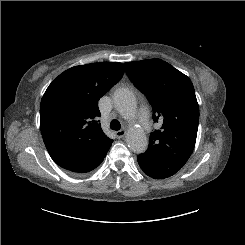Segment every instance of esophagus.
<instances>
[{"mask_svg":"<svg viewBox=\"0 0 245 245\" xmlns=\"http://www.w3.org/2000/svg\"><path fill=\"white\" fill-rule=\"evenodd\" d=\"M126 135V131L125 130H119L116 132V136L117 138H123Z\"/></svg>","mask_w":245,"mask_h":245,"instance_id":"esophagus-1","label":"esophagus"}]
</instances>
